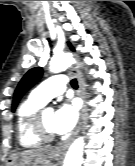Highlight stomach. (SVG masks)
I'll return each mask as SVG.
<instances>
[{
    "instance_id": "1",
    "label": "stomach",
    "mask_w": 135,
    "mask_h": 166,
    "mask_svg": "<svg viewBox=\"0 0 135 166\" xmlns=\"http://www.w3.org/2000/svg\"><path fill=\"white\" fill-rule=\"evenodd\" d=\"M50 157L52 159L57 160V159H59L60 156L56 153H51ZM21 159H22V157L20 155L13 156V158L10 159V162L8 163V166H21V165H17V163L20 162ZM28 166H45V165H42L40 163H35V164L28 165Z\"/></svg>"
}]
</instances>
